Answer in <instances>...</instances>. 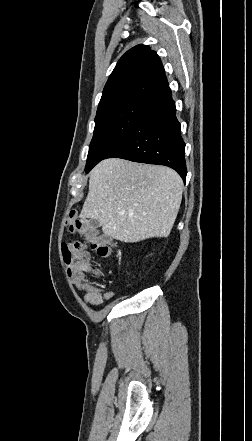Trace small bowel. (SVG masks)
Masks as SVG:
<instances>
[{
    "label": "small bowel",
    "instance_id": "c3829d8e",
    "mask_svg": "<svg viewBox=\"0 0 252 441\" xmlns=\"http://www.w3.org/2000/svg\"><path fill=\"white\" fill-rule=\"evenodd\" d=\"M88 272L91 274L92 269L89 268ZM74 283L79 289L84 291V300L90 306H99L104 300H109L113 297L111 292L100 290L87 282L74 281Z\"/></svg>",
    "mask_w": 252,
    "mask_h": 441
}]
</instances>
